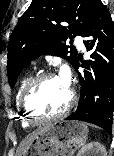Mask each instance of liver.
<instances>
[{
	"label": "liver",
	"mask_w": 114,
	"mask_h": 156,
	"mask_svg": "<svg viewBox=\"0 0 114 156\" xmlns=\"http://www.w3.org/2000/svg\"><path fill=\"white\" fill-rule=\"evenodd\" d=\"M44 129V127L38 128L36 131L29 134L19 145L16 156H23L26 153L31 141Z\"/></svg>",
	"instance_id": "6515ba94"
}]
</instances>
